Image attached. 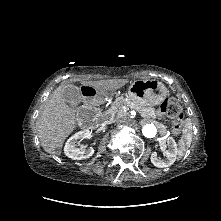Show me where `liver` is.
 Wrapping results in <instances>:
<instances>
[{
	"mask_svg": "<svg viewBox=\"0 0 221 221\" xmlns=\"http://www.w3.org/2000/svg\"><path fill=\"white\" fill-rule=\"evenodd\" d=\"M128 83L127 79H109L83 82L95 88L113 87L116 90ZM69 84L58 86L43 103L36 121V130L43 149L53 155H60L65 139L77 126L76 111L66 104L63 89Z\"/></svg>",
	"mask_w": 221,
	"mask_h": 221,
	"instance_id": "6515ba94",
	"label": "liver"
}]
</instances>
